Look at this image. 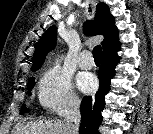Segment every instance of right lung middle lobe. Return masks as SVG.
<instances>
[{
    "label": "right lung middle lobe",
    "instance_id": "right-lung-middle-lobe-1",
    "mask_svg": "<svg viewBox=\"0 0 153 134\" xmlns=\"http://www.w3.org/2000/svg\"><path fill=\"white\" fill-rule=\"evenodd\" d=\"M34 85H35L34 78L31 77V78L29 79V82H28V91H29V92L32 90V88L34 87ZM27 111H28V109L25 107V105H23V107H22V109H21V111H20V114H24V113L27 112Z\"/></svg>",
    "mask_w": 153,
    "mask_h": 134
}]
</instances>
